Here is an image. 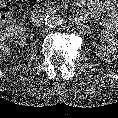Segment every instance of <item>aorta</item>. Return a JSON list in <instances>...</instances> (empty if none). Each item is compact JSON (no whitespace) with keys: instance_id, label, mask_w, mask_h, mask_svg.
Listing matches in <instances>:
<instances>
[{"instance_id":"aorta-1","label":"aorta","mask_w":118,"mask_h":118,"mask_svg":"<svg viewBox=\"0 0 118 118\" xmlns=\"http://www.w3.org/2000/svg\"><path fill=\"white\" fill-rule=\"evenodd\" d=\"M44 21L47 26L56 27L60 23V17L57 14H48Z\"/></svg>"}]
</instances>
